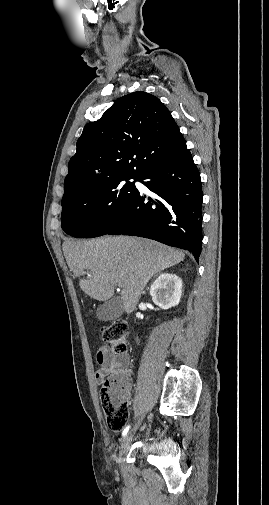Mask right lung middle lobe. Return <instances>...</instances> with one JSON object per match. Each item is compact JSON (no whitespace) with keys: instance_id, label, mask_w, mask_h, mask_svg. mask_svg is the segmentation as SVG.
Wrapping results in <instances>:
<instances>
[{"instance_id":"right-lung-middle-lobe-1","label":"right lung middle lobe","mask_w":269,"mask_h":505,"mask_svg":"<svg viewBox=\"0 0 269 505\" xmlns=\"http://www.w3.org/2000/svg\"><path fill=\"white\" fill-rule=\"evenodd\" d=\"M132 178L85 189L62 201L61 226L78 238L107 234L124 216L138 194ZM138 180V179H135Z\"/></svg>"}]
</instances>
